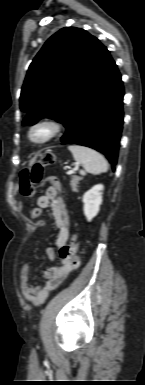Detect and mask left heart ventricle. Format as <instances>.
<instances>
[{
    "label": "left heart ventricle",
    "instance_id": "left-heart-ventricle-1",
    "mask_svg": "<svg viewBox=\"0 0 145 385\" xmlns=\"http://www.w3.org/2000/svg\"><path fill=\"white\" fill-rule=\"evenodd\" d=\"M43 135V133L42 132H39L38 134H37V137H40V136H42Z\"/></svg>",
    "mask_w": 145,
    "mask_h": 385
}]
</instances>
